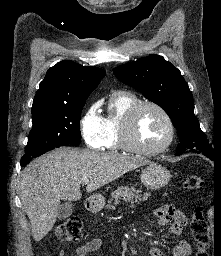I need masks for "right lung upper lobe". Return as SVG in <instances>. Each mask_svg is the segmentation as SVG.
<instances>
[{
	"label": "right lung upper lobe",
	"instance_id": "right-lung-upper-lobe-1",
	"mask_svg": "<svg viewBox=\"0 0 221 256\" xmlns=\"http://www.w3.org/2000/svg\"><path fill=\"white\" fill-rule=\"evenodd\" d=\"M106 72L64 60L51 67L40 83L32 111L80 104L89 97Z\"/></svg>",
	"mask_w": 221,
	"mask_h": 256
}]
</instances>
